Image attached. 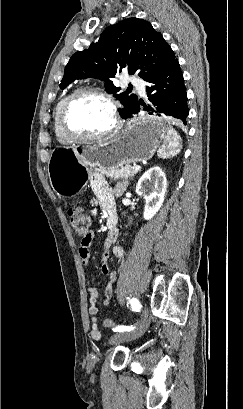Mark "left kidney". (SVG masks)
Instances as JSON below:
<instances>
[{
    "label": "left kidney",
    "mask_w": 243,
    "mask_h": 409,
    "mask_svg": "<svg viewBox=\"0 0 243 409\" xmlns=\"http://www.w3.org/2000/svg\"><path fill=\"white\" fill-rule=\"evenodd\" d=\"M167 189L165 173L158 166L150 168L139 179L136 193L145 199L143 217L150 220L156 215L163 205Z\"/></svg>",
    "instance_id": "1"
}]
</instances>
